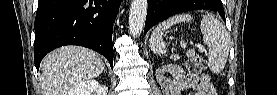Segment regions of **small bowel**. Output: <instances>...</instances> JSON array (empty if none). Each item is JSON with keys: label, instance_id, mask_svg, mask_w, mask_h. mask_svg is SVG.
<instances>
[{"label": "small bowel", "instance_id": "1", "mask_svg": "<svg viewBox=\"0 0 277 95\" xmlns=\"http://www.w3.org/2000/svg\"><path fill=\"white\" fill-rule=\"evenodd\" d=\"M177 76L184 80L183 88L194 90L195 95H212V83L206 76L188 78L183 71L178 72Z\"/></svg>", "mask_w": 277, "mask_h": 95}]
</instances>
